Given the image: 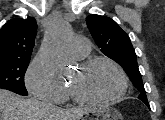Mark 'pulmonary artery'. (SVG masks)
Segmentation results:
<instances>
[{
  "label": "pulmonary artery",
  "mask_w": 165,
  "mask_h": 120,
  "mask_svg": "<svg viewBox=\"0 0 165 120\" xmlns=\"http://www.w3.org/2000/svg\"><path fill=\"white\" fill-rule=\"evenodd\" d=\"M68 53L76 59H82L90 52L89 42L80 36L74 37L67 46Z\"/></svg>",
  "instance_id": "obj_1"
}]
</instances>
